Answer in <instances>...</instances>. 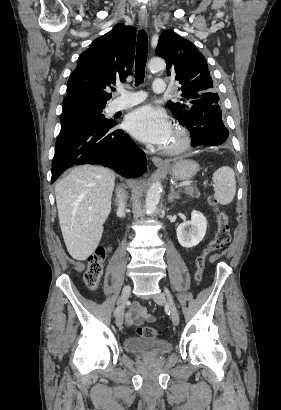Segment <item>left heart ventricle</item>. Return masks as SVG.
I'll use <instances>...</instances> for the list:
<instances>
[{
  "instance_id": "left-heart-ventricle-1",
  "label": "left heart ventricle",
  "mask_w": 281,
  "mask_h": 410,
  "mask_svg": "<svg viewBox=\"0 0 281 410\" xmlns=\"http://www.w3.org/2000/svg\"><path fill=\"white\" fill-rule=\"evenodd\" d=\"M176 142H177V138H176V136L174 135V133H172V135H171L169 141H168L164 146H165V147H171V146H174V145L176 144Z\"/></svg>"
}]
</instances>
